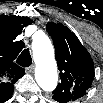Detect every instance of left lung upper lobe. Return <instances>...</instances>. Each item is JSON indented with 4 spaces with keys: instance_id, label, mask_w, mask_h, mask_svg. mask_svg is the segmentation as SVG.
Returning a JSON list of instances; mask_svg holds the SVG:
<instances>
[{
    "instance_id": "obj_1",
    "label": "left lung upper lobe",
    "mask_w": 103,
    "mask_h": 103,
    "mask_svg": "<svg viewBox=\"0 0 103 103\" xmlns=\"http://www.w3.org/2000/svg\"><path fill=\"white\" fill-rule=\"evenodd\" d=\"M46 29L53 39L61 79L53 91V99L69 103L84 96L91 87L94 63L89 52L68 27L50 22Z\"/></svg>"
}]
</instances>
